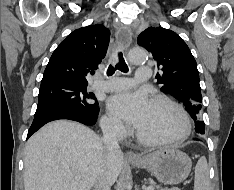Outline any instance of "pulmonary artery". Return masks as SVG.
Instances as JSON below:
<instances>
[{"mask_svg": "<svg viewBox=\"0 0 234 190\" xmlns=\"http://www.w3.org/2000/svg\"><path fill=\"white\" fill-rule=\"evenodd\" d=\"M151 76V69L148 66H140L137 69L136 80L139 83L147 82ZM133 83L131 79L126 77L112 76L107 80L97 81L93 87L96 90L111 92V91H122L132 87Z\"/></svg>", "mask_w": 234, "mask_h": 190, "instance_id": "obj_1", "label": "pulmonary artery"}]
</instances>
